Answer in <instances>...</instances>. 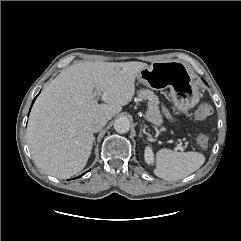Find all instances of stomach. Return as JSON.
<instances>
[{"instance_id":"stomach-1","label":"stomach","mask_w":241,"mask_h":241,"mask_svg":"<svg viewBox=\"0 0 241 241\" xmlns=\"http://www.w3.org/2000/svg\"><path fill=\"white\" fill-rule=\"evenodd\" d=\"M137 79L139 83L153 90L169 88L174 106L179 111H187L199 101L197 84L189 69L181 61L154 62L142 69Z\"/></svg>"}]
</instances>
